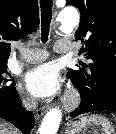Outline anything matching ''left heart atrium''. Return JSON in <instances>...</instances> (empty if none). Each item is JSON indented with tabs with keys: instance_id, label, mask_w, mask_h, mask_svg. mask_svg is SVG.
Masks as SVG:
<instances>
[{
	"instance_id": "obj_1",
	"label": "left heart atrium",
	"mask_w": 116,
	"mask_h": 134,
	"mask_svg": "<svg viewBox=\"0 0 116 134\" xmlns=\"http://www.w3.org/2000/svg\"><path fill=\"white\" fill-rule=\"evenodd\" d=\"M27 90L35 97L52 98L61 91V78L55 65L43 64L29 71L25 77Z\"/></svg>"
}]
</instances>
